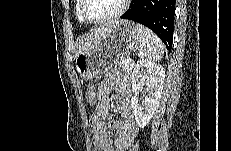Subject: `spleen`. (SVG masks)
Listing matches in <instances>:
<instances>
[{"label": "spleen", "mask_w": 231, "mask_h": 151, "mask_svg": "<svg viewBox=\"0 0 231 151\" xmlns=\"http://www.w3.org/2000/svg\"><path fill=\"white\" fill-rule=\"evenodd\" d=\"M136 31L140 43V59L147 62L160 60L164 54V46L158 36L141 24H136Z\"/></svg>", "instance_id": "obj_1"}]
</instances>
